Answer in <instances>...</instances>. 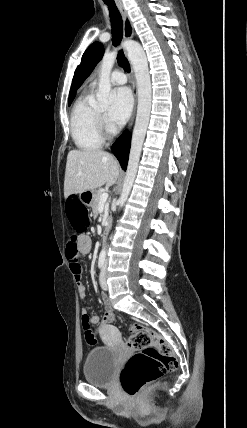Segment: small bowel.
<instances>
[{"label":"small bowel","instance_id":"1","mask_svg":"<svg viewBox=\"0 0 247 428\" xmlns=\"http://www.w3.org/2000/svg\"><path fill=\"white\" fill-rule=\"evenodd\" d=\"M91 247H92V242H91L90 237L82 236L77 241V254L72 255L67 251V258L69 261V265H70V268H71V270L75 276V279L77 282L78 293H79V296L82 300H84L85 296H86V286L81 280V266H80V263L78 260V254L89 253L91 250ZM102 300H103L105 307H106L105 310L109 309L112 311L107 296L104 295L102 297ZM84 317L88 318L90 324H99L100 323L101 327H102V325H105L104 323H102L99 316H97V315L89 316L86 309L82 310V318H84Z\"/></svg>","mask_w":247,"mask_h":428}]
</instances>
